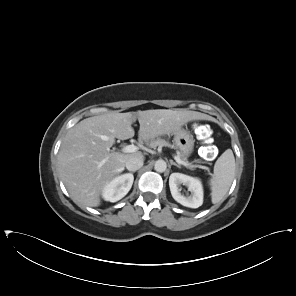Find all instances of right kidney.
I'll list each match as a JSON object with an SVG mask.
<instances>
[{"label": "right kidney", "mask_w": 296, "mask_h": 296, "mask_svg": "<svg viewBox=\"0 0 296 296\" xmlns=\"http://www.w3.org/2000/svg\"><path fill=\"white\" fill-rule=\"evenodd\" d=\"M134 176L131 173L119 175L110 180L102 190L105 201L117 202L122 199L131 189Z\"/></svg>", "instance_id": "ca27d5eb"}]
</instances>
